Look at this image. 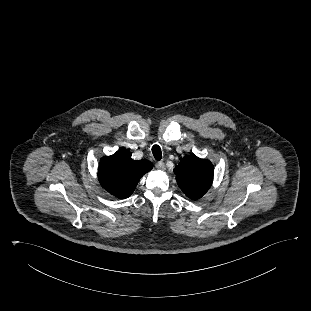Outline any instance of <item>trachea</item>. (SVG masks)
Returning <instances> with one entry per match:
<instances>
[{
  "instance_id": "1",
  "label": "trachea",
  "mask_w": 311,
  "mask_h": 311,
  "mask_svg": "<svg viewBox=\"0 0 311 311\" xmlns=\"http://www.w3.org/2000/svg\"><path fill=\"white\" fill-rule=\"evenodd\" d=\"M152 153H153V156L154 158L159 161L162 159V151H161V148L159 145H154L152 147Z\"/></svg>"
}]
</instances>
